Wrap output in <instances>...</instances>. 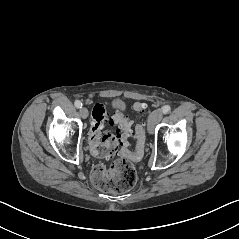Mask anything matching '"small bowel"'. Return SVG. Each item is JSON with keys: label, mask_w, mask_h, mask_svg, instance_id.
I'll return each instance as SVG.
<instances>
[{"label": "small bowel", "mask_w": 239, "mask_h": 239, "mask_svg": "<svg viewBox=\"0 0 239 239\" xmlns=\"http://www.w3.org/2000/svg\"><path fill=\"white\" fill-rule=\"evenodd\" d=\"M116 114H122L121 112H118V113H116Z\"/></svg>", "instance_id": "obj_1"}]
</instances>
